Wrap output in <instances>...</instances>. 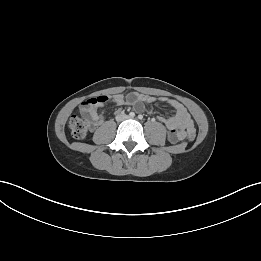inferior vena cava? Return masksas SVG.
Returning a JSON list of instances; mask_svg holds the SVG:
<instances>
[{
    "instance_id": "inferior-vena-cava-1",
    "label": "inferior vena cava",
    "mask_w": 261,
    "mask_h": 261,
    "mask_svg": "<svg viewBox=\"0 0 261 261\" xmlns=\"http://www.w3.org/2000/svg\"><path fill=\"white\" fill-rule=\"evenodd\" d=\"M127 118V115H117L116 116V120L117 121H123L124 119H126Z\"/></svg>"
}]
</instances>
